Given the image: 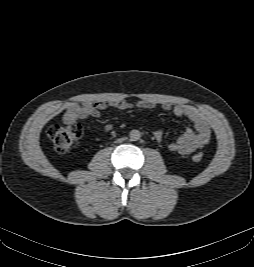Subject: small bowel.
Returning a JSON list of instances; mask_svg holds the SVG:
<instances>
[{
	"label": "small bowel",
	"instance_id": "c3829d8e",
	"mask_svg": "<svg viewBox=\"0 0 254 267\" xmlns=\"http://www.w3.org/2000/svg\"><path fill=\"white\" fill-rule=\"evenodd\" d=\"M156 105L152 100L129 102L125 99H116L109 102L71 103L66 107L63 121L66 124H77L86 117L98 118L103 110L110 107L120 110L153 109ZM162 110L165 112L172 111L176 116L186 118L193 124V128L186 129L179 138L169 144L171 151L189 155L209 142L211 137L210 127L205 117L197 109L188 105L171 106L164 104L162 105ZM111 129V124L106 125L105 131H110ZM154 137L160 141L162 139L161 132L156 131Z\"/></svg>",
	"mask_w": 254,
	"mask_h": 267
}]
</instances>
